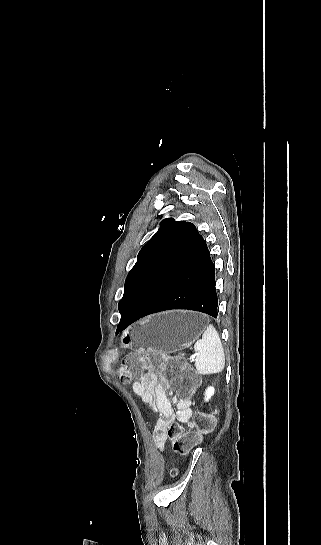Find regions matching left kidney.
I'll return each instance as SVG.
<instances>
[{
  "label": "left kidney",
  "instance_id": "1",
  "mask_svg": "<svg viewBox=\"0 0 321 545\" xmlns=\"http://www.w3.org/2000/svg\"><path fill=\"white\" fill-rule=\"evenodd\" d=\"M214 393H215L214 387H207V389H206V391L204 393V395H205L204 401H206V403H208L209 399H211V397H213Z\"/></svg>",
  "mask_w": 321,
  "mask_h": 545
}]
</instances>
